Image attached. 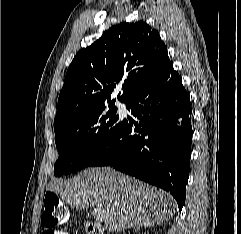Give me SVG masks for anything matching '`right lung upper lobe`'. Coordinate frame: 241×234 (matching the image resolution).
Here are the masks:
<instances>
[{
    "mask_svg": "<svg viewBox=\"0 0 241 234\" xmlns=\"http://www.w3.org/2000/svg\"><path fill=\"white\" fill-rule=\"evenodd\" d=\"M171 63L159 33L143 20L120 23L81 49L70 64L59 94L55 131L73 125L105 106L118 83L117 98L127 103Z\"/></svg>",
    "mask_w": 241,
    "mask_h": 234,
    "instance_id": "right-lung-upper-lobe-1",
    "label": "right lung upper lobe"
}]
</instances>
